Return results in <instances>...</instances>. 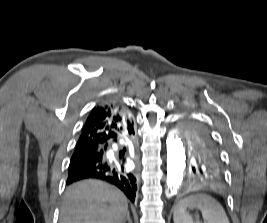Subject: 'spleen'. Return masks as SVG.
<instances>
[{
  "instance_id": "spleen-1",
  "label": "spleen",
  "mask_w": 267,
  "mask_h": 223,
  "mask_svg": "<svg viewBox=\"0 0 267 223\" xmlns=\"http://www.w3.org/2000/svg\"><path fill=\"white\" fill-rule=\"evenodd\" d=\"M201 210L204 223H230L221 204L209 195L196 194L184 198L174 207V223H194L187 208Z\"/></svg>"
}]
</instances>
